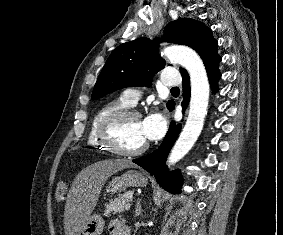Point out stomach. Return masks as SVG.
Segmentation results:
<instances>
[{"instance_id":"obj_1","label":"stomach","mask_w":283,"mask_h":235,"mask_svg":"<svg viewBox=\"0 0 283 235\" xmlns=\"http://www.w3.org/2000/svg\"><path fill=\"white\" fill-rule=\"evenodd\" d=\"M148 183L146 176L137 170H128L121 176L112 178L107 190L111 193H117L125 190L127 187H144ZM104 229V220L101 215L93 214L82 227L83 235H101Z\"/></svg>"}]
</instances>
